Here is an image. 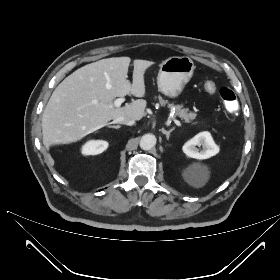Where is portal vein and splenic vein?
I'll return each mask as SVG.
<instances>
[{
	"instance_id": "18ae733b",
	"label": "portal vein and splenic vein",
	"mask_w": 280,
	"mask_h": 280,
	"mask_svg": "<svg viewBox=\"0 0 280 280\" xmlns=\"http://www.w3.org/2000/svg\"><path fill=\"white\" fill-rule=\"evenodd\" d=\"M124 101H125L124 98H117V99L114 101L113 106H114V107H120L121 104H122ZM173 121H174V123H175L177 126H179V127L182 126L181 122L178 121L177 119H173Z\"/></svg>"
}]
</instances>
